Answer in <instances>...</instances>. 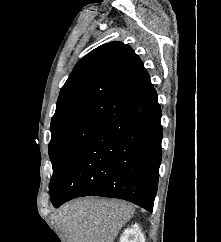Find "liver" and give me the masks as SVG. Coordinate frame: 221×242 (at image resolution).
Segmentation results:
<instances>
[{"label": "liver", "instance_id": "6515ba94", "mask_svg": "<svg viewBox=\"0 0 221 242\" xmlns=\"http://www.w3.org/2000/svg\"><path fill=\"white\" fill-rule=\"evenodd\" d=\"M133 214L125 201L83 198L63 205L56 222L67 242H114Z\"/></svg>", "mask_w": 221, "mask_h": 242}]
</instances>
